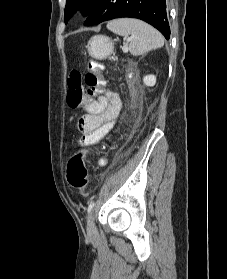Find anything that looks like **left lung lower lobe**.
Wrapping results in <instances>:
<instances>
[{
    "instance_id": "obj_1",
    "label": "left lung lower lobe",
    "mask_w": 227,
    "mask_h": 279,
    "mask_svg": "<svg viewBox=\"0 0 227 279\" xmlns=\"http://www.w3.org/2000/svg\"><path fill=\"white\" fill-rule=\"evenodd\" d=\"M122 17L141 19L157 28L166 39L170 38L165 0H97L84 25Z\"/></svg>"
}]
</instances>
